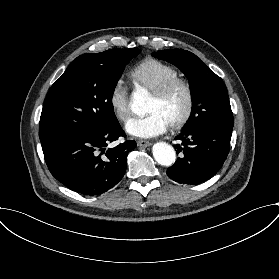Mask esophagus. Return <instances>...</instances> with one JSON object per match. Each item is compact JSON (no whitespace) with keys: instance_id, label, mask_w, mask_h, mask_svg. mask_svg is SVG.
I'll use <instances>...</instances> for the list:
<instances>
[{"instance_id":"esophagus-1","label":"esophagus","mask_w":279,"mask_h":279,"mask_svg":"<svg viewBox=\"0 0 279 279\" xmlns=\"http://www.w3.org/2000/svg\"><path fill=\"white\" fill-rule=\"evenodd\" d=\"M137 145L140 147H148L151 145V143L146 140H138Z\"/></svg>"}]
</instances>
